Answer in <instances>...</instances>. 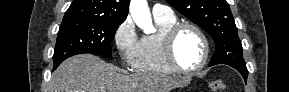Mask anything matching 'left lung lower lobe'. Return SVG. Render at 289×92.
<instances>
[{"label": "left lung lower lobe", "mask_w": 289, "mask_h": 92, "mask_svg": "<svg viewBox=\"0 0 289 92\" xmlns=\"http://www.w3.org/2000/svg\"><path fill=\"white\" fill-rule=\"evenodd\" d=\"M233 68H235L237 71H239V73L243 76L245 82L247 81V77H248V70L246 67H238V66H232Z\"/></svg>", "instance_id": "left-lung-lower-lobe-1"}]
</instances>
